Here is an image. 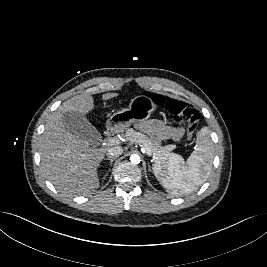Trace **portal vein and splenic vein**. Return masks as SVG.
<instances>
[{"instance_id":"portal-vein-and-splenic-vein-1","label":"portal vein and splenic vein","mask_w":267,"mask_h":267,"mask_svg":"<svg viewBox=\"0 0 267 267\" xmlns=\"http://www.w3.org/2000/svg\"><path fill=\"white\" fill-rule=\"evenodd\" d=\"M109 144H112V145H115V144H119L120 143V140L116 137H113V138H110L108 139L107 141ZM141 151L143 153H147L149 156L151 155V151L149 149H146L144 147L141 148Z\"/></svg>"}]
</instances>
